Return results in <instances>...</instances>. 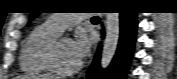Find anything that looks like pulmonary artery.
<instances>
[{
    "mask_svg": "<svg viewBox=\"0 0 177 79\" xmlns=\"http://www.w3.org/2000/svg\"><path fill=\"white\" fill-rule=\"evenodd\" d=\"M89 14L78 13V14H52L46 22L52 27L62 32L66 27L73 25L77 22L84 20L89 17Z\"/></svg>",
    "mask_w": 177,
    "mask_h": 79,
    "instance_id": "pulmonary-artery-1",
    "label": "pulmonary artery"
}]
</instances>
